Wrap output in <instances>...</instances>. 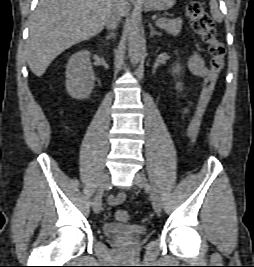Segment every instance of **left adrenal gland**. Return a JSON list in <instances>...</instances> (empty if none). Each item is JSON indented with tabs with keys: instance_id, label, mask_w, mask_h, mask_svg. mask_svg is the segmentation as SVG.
<instances>
[{
	"instance_id": "obj_1",
	"label": "left adrenal gland",
	"mask_w": 254,
	"mask_h": 267,
	"mask_svg": "<svg viewBox=\"0 0 254 267\" xmlns=\"http://www.w3.org/2000/svg\"><path fill=\"white\" fill-rule=\"evenodd\" d=\"M148 26L150 29V37H152L153 35H161L158 31L154 29L152 23H149Z\"/></svg>"
}]
</instances>
